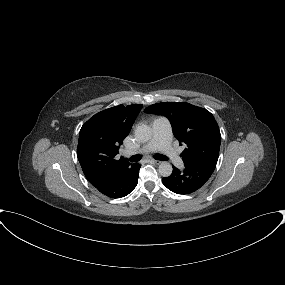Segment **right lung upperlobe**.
I'll return each mask as SVG.
<instances>
[{
    "instance_id": "1",
    "label": "right lung upper lobe",
    "mask_w": 285,
    "mask_h": 285,
    "mask_svg": "<svg viewBox=\"0 0 285 285\" xmlns=\"http://www.w3.org/2000/svg\"><path fill=\"white\" fill-rule=\"evenodd\" d=\"M141 108V104L114 106L95 114L82 126L77 157L93 186L110 183L134 165L115 156Z\"/></svg>"
}]
</instances>
